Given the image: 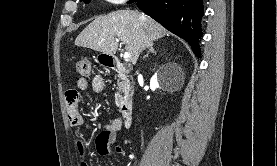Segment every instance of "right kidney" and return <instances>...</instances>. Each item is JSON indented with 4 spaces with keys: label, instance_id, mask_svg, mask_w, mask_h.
<instances>
[{
    "label": "right kidney",
    "instance_id": "1",
    "mask_svg": "<svg viewBox=\"0 0 277 166\" xmlns=\"http://www.w3.org/2000/svg\"><path fill=\"white\" fill-rule=\"evenodd\" d=\"M168 85H169V83H166V84L164 83L163 77L160 74L154 75L150 80V88L152 90H155L158 87H164V86H168Z\"/></svg>",
    "mask_w": 277,
    "mask_h": 166
}]
</instances>
